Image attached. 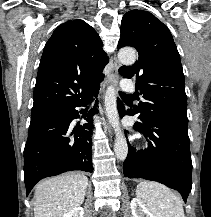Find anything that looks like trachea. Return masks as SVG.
<instances>
[{
	"instance_id": "obj_1",
	"label": "trachea",
	"mask_w": 211,
	"mask_h": 217,
	"mask_svg": "<svg viewBox=\"0 0 211 217\" xmlns=\"http://www.w3.org/2000/svg\"><path fill=\"white\" fill-rule=\"evenodd\" d=\"M119 94H120V96H121L122 98H132L131 95H127V94H125V93H123V92H119Z\"/></svg>"
}]
</instances>
